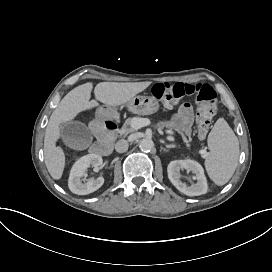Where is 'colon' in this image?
<instances>
[{
	"instance_id": "1",
	"label": "colon",
	"mask_w": 272,
	"mask_h": 272,
	"mask_svg": "<svg viewBox=\"0 0 272 272\" xmlns=\"http://www.w3.org/2000/svg\"><path fill=\"white\" fill-rule=\"evenodd\" d=\"M153 96L159 101L174 102L185 97L191 98L195 104L201 107L197 113V129L201 136H205L209 130L212 119L216 115V91L206 83L196 84L177 82L172 85L157 84L152 88Z\"/></svg>"
}]
</instances>
